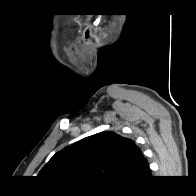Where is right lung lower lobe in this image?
<instances>
[{"mask_svg":"<svg viewBox=\"0 0 196 196\" xmlns=\"http://www.w3.org/2000/svg\"><path fill=\"white\" fill-rule=\"evenodd\" d=\"M150 177V176H148ZM143 181L139 182V183H136V184H131V185H125L124 187H134V186H138L142 183Z\"/></svg>","mask_w":196,"mask_h":196,"instance_id":"98d812e1","label":"right lung lower lobe"}]
</instances>
